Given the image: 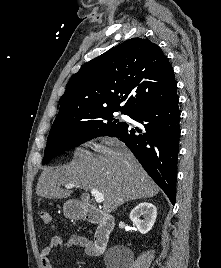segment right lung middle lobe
Masks as SVG:
<instances>
[{
    "instance_id": "dd1d6c3e",
    "label": "right lung middle lobe",
    "mask_w": 221,
    "mask_h": 268,
    "mask_svg": "<svg viewBox=\"0 0 221 268\" xmlns=\"http://www.w3.org/2000/svg\"><path fill=\"white\" fill-rule=\"evenodd\" d=\"M115 111H102L71 118L55 119L45 149L42 164L80 144L109 132L125 124L114 117Z\"/></svg>"
}]
</instances>
